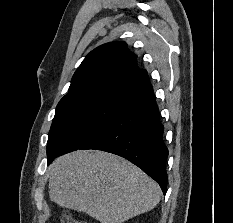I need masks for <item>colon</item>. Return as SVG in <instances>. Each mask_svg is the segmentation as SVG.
Segmentation results:
<instances>
[{
  "label": "colon",
  "mask_w": 233,
  "mask_h": 223,
  "mask_svg": "<svg viewBox=\"0 0 233 223\" xmlns=\"http://www.w3.org/2000/svg\"><path fill=\"white\" fill-rule=\"evenodd\" d=\"M64 216L66 217V223H71L70 214L68 211L64 212Z\"/></svg>",
  "instance_id": "1"
}]
</instances>
